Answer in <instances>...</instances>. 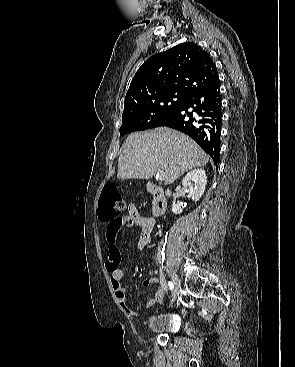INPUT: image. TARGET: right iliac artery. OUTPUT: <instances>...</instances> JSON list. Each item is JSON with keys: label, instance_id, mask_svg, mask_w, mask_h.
<instances>
[{"label": "right iliac artery", "instance_id": "1", "mask_svg": "<svg viewBox=\"0 0 295 367\" xmlns=\"http://www.w3.org/2000/svg\"><path fill=\"white\" fill-rule=\"evenodd\" d=\"M163 260H164V257L163 256L162 257L159 256L158 262H159V264H162V266H163ZM168 286H169L170 290H173L174 285H173V283L171 281L168 282Z\"/></svg>", "mask_w": 295, "mask_h": 367}]
</instances>
